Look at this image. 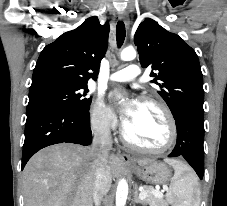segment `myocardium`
Returning <instances> with one entry per match:
<instances>
[{"label":"myocardium","instance_id":"myocardium-1","mask_svg":"<svg viewBox=\"0 0 227 206\" xmlns=\"http://www.w3.org/2000/svg\"><path fill=\"white\" fill-rule=\"evenodd\" d=\"M140 102L145 103V104L155 105L162 111V113L164 114V116L166 118L167 124H168V139H167L166 143L164 145H162L161 147H158V148L144 147V146H141V145L135 143L129 137V135L127 134L125 129L122 132L123 139L132 148L145 152V153L161 154V153L168 151L169 149H171L174 146L176 139H177V124H176L172 111L170 110L168 105L163 100L156 98V97L142 96L140 98Z\"/></svg>","mask_w":227,"mask_h":206}]
</instances>
